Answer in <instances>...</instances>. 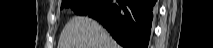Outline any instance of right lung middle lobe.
Segmentation results:
<instances>
[{
	"label": "right lung middle lobe",
	"instance_id": "obj_1",
	"mask_svg": "<svg viewBox=\"0 0 213 48\" xmlns=\"http://www.w3.org/2000/svg\"><path fill=\"white\" fill-rule=\"evenodd\" d=\"M95 0H65L62 2L61 9L71 8L76 14L84 15Z\"/></svg>",
	"mask_w": 213,
	"mask_h": 48
}]
</instances>
